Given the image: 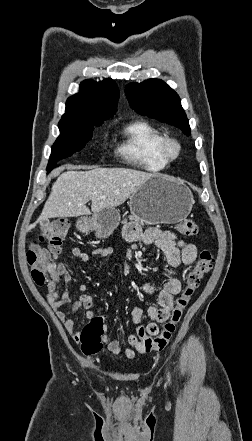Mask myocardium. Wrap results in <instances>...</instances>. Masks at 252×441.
I'll list each match as a JSON object with an SVG mask.
<instances>
[{
	"label": "myocardium",
	"mask_w": 252,
	"mask_h": 441,
	"mask_svg": "<svg viewBox=\"0 0 252 441\" xmlns=\"http://www.w3.org/2000/svg\"><path fill=\"white\" fill-rule=\"evenodd\" d=\"M182 151L181 144L172 137L163 136L158 144V153L165 161L172 162L176 160Z\"/></svg>",
	"instance_id": "1"
}]
</instances>
